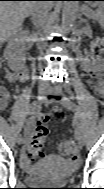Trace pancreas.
<instances>
[{
  "label": "pancreas",
  "mask_w": 104,
  "mask_h": 189,
  "mask_svg": "<svg viewBox=\"0 0 104 189\" xmlns=\"http://www.w3.org/2000/svg\"><path fill=\"white\" fill-rule=\"evenodd\" d=\"M87 15L94 20H97L100 17V15L98 13H95V12H89Z\"/></svg>",
  "instance_id": "obj_1"
}]
</instances>
